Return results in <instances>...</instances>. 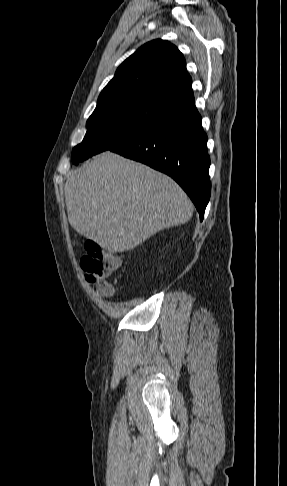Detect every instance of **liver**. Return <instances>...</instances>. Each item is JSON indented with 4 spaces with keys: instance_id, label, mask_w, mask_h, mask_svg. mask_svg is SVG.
Returning <instances> with one entry per match:
<instances>
[{
    "instance_id": "1",
    "label": "liver",
    "mask_w": 287,
    "mask_h": 486,
    "mask_svg": "<svg viewBox=\"0 0 287 486\" xmlns=\"http://www.w3.org/2000/svg\"><path fill=\"white\" fill-rule=\"evenodd\" d=\"M64 191L70 225L109 253L187 223L194 209L170 177L110 151L69 173Z\"/></svg>"
}]
</instances>
